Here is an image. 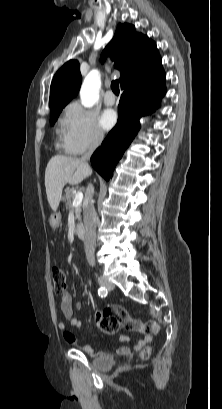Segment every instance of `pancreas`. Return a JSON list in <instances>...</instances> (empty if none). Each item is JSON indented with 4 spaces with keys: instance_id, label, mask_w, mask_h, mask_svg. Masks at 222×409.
<instances>
[{
    "instance_id": "obj_1",
    "label": "pancreas",
    "mask_w": 222,
    "mask_h": 409,
    "mask_svg": "<svg viewBox=\"0 0 222 409\" xmlns=\"http://www.w3.org/2000/svg\"><path fill=\"white\" fill-rule=\"evenodd\" d=\"M66 195H65V204H66V208L68 210H72L73 212H75V218L81 222V205L78 206H74L73 205V199L75 197V193H74V189L73 188H68L66 189Z\"/></svg>"
}]
</instances>
